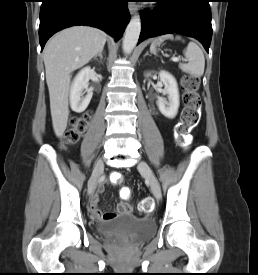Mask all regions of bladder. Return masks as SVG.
<instances>
[{
    "instance_id": "1",
    "label": "bladder",
    "mask_w": 258,
    "mask_h": 275,
    "mask_svg": "<svg viewBox=\"0 0 258 275\" xmlns=\"http://www.w3.org/2000/svg\"><path fill=\"white\" fill-rule=\"evenodd\" d=\"M116 231L128 233L136 240H145L155 232V221L150 217H138L134 214H123L114 219H105L96 225L100 236H109Z\"/></svg>"
}]
</instances>
